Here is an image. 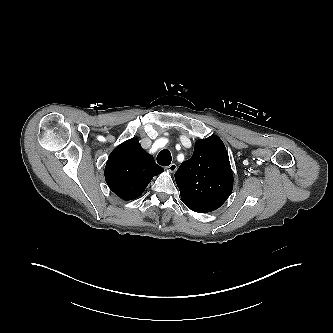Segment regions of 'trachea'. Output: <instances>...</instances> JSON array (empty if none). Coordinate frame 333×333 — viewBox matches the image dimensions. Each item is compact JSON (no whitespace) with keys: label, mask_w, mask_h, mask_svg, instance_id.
<instances>
[{"label":"trachea","mask_w":333,"mask_h":333,"mask_svg":"<svg viewBox=\"0 0 333 333\" xmlns=\"http://www.w3.org/2000/svg\"><path fill=\"white\" fill-rule=\"evenodd\" d=\"M172 161V156L169 150L164 149L157 155V163L162 166H169Z\"/></svg>","instance_id":"trachea-1"}]
</instances>
